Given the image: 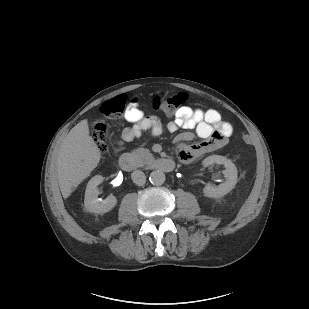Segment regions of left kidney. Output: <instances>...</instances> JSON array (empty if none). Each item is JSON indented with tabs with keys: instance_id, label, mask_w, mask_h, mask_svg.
I'll return each instance as SVG.
<instances>
[{
	"instance_id": "1",
	"label": "left kidney",
	"mask_w": 309,
	"mask_h": 309,
	"mask_svg": "<svg viewBox=\"0 0 309 309\" xmlns=\"http://www.w3.org/2000/svg\"><path fill=\"white\" fill-rule=\"evenodd\" d=\"M212 164H220L225 166L223 174L226 180L218 186L207 184L203 188V193L206 197L220 198L228 194L235 187L237 183L238 172L235 164L224 156L212 155L203 160V165L205 167Z\"/></svg>"
}]
</instances>
